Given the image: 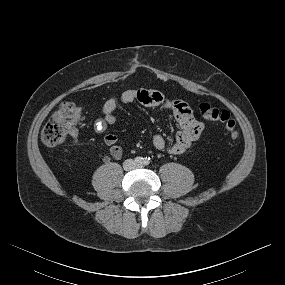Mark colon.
Masks as SVG:
<instances>
[{
    "label": "colon",
    "mask_w": 285,
    "mask_h": 285,
    "mask_svg": "<svg viewBox=\"0 0 285 285\" xmlns=\"http://www.w3.org/2000/svg\"><path fill=\"white\" fill-rule=\"evenodd\" d=\"M199 112L205 120L222 123L232 139L238 137L236 121L228 110L203 103L199 107ZM83 119L84 113L78 105L71 101L62 102L44 126L41 133L42 141L51 147L62 144L68 136L77 131Z\"/></svg>",
    "instance_id": "5ec220e1"
}]
</instances>
